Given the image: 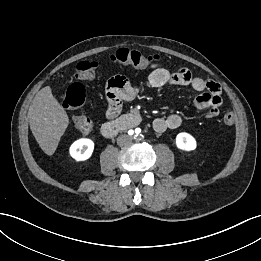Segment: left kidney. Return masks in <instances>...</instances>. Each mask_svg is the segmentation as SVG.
<instances>
[{
    "label": "left kidney",
    "instance_id": "obj_1",
    "mask_svg": "<svg viewBox=\"0 0 261 261\" xmlns=\"http://www.w3.org/2000/svg\"><path fill=\"white\" fill-rule=\"evenodd\" d=\"M176 146L184 151H192L196 149V140L189 133L182 132L176 136Z\"/></svg>",
    "mask_w": 261,
    "mask_h": 261
}]
</instances>
